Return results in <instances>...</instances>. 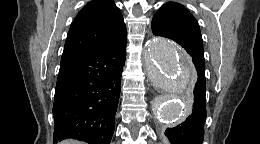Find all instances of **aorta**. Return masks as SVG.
Returning a JSON list of instances; mask_svg holds the SVG:
<instances>
[{
	"label": "aorta",
	"mask_w": 260,
	"mask_h": 144,
	"mask_svg": "<svg viewBox=\"0 0 260 144\" xmlns=\"http://www.w3.org/2000/svg\"><path fill=\"white\" fill-rule=\"evenodd\" d=\"M145 55L153 85L171 92L155 99L158 118L165 122L182 120L187 114L185 92L192 78L189 56L174 42L161 37L149 41Z\"/></svg>",
	"instance_id": "aorta-1"
}]
</instances>
